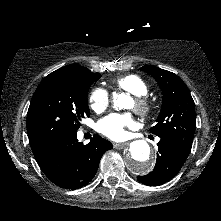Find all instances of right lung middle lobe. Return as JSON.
Wrapping results in <instances>:
<instances>
[{
  "label": "right lung middle lobe",
  "instance_id": "1",
  "mask_svg": "<svg viewBox=\"0 0 221 221\" xmlns=\"http://www.w3.org/2000/svg\"><path fill=\"white\" fill-rule=\"evenodd\" d=\"M101 75L87 71L56 70L39 84L27 113V133L31 146L50 137L76 132L80 121L89 117L88 90Z\"/></svg>",
  "mask_w": 221,
  "mask_h": 221
}]
</instances>
